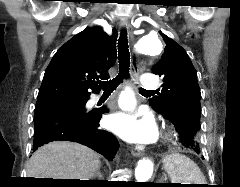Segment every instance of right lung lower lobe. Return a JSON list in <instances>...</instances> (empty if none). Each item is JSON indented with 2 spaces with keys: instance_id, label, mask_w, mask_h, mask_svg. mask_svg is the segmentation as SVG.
<instances>
[{
  "instance_id": "obj_1",
  "label": "right lung lower lobe",
  "mask_w": 240,
  "mask_h": 187,
  "mask_svg": "<svg viewBox=\"0 0 240 187\" xmlns=\"http://www.w3.org/2000/svg\"><path fill=\"white\" fill-rule=\"evenodd\" d=\"M107 112L105 107L89 112H70L62 107L45 109L34 117L33 148L57 140L72 141L88 146L111 161L119 142L111 133L99 129V120Z\"/></svg>"
}]
</instances>
